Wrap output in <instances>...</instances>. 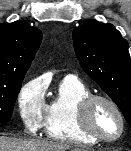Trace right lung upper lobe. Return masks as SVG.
Returning <instances> with one entry per match:
<instances>
[{"label":"right lung upper lobe","mask_w":131,"mask_h":151,"mask_svg":"<svg viewBox=\"0 0 131 151\" xmlns=\"http://www.w3.org/2000/svg\"><path fill=\"white\" fill-rule=\"evenodd\" d=\"M42 40V32L23 21L0 24V78L24 77Z\"/></svg>","instance_id":"obj_1"}]
</instances>
